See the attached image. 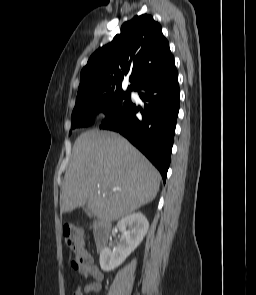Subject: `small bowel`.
<instances>
[{
    "label": "small bowel",
    "mask_w": 256,
    "mask_h": 295,
    "mask_svg": "<svg viewBox=\"0 0 256 295\" xmlns=\"http://www.w3.org/2000/svg\"><path fill=\"white\" fill-rule=\"evenodd\" d=\"M81 278H91V282L87 285H82L78 282L77 289L74 295H86L93 292H100L104 275L100 268L92 262L79 268Z\"/></svg>",
    "instance_id": "1"
}]
</instances>
